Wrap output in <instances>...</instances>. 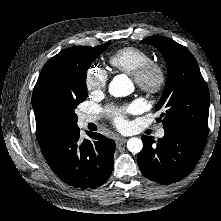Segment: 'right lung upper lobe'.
<instances>
[{
	"label": "right lung upper lobe",
	"mask_w": 221,
	"mask_h": 221,
	"mask_svg": "<svg viewBox=\"0 0 221 221\" xmlns=\"http://www.w3.org/2000/svg\"><path fill=\"white\" fill-rule=\"evenodd\" d=\"M85 47H70L52 57L43 66L33 90L32 106L36 119L39 145L68 128L69 116L64 107L50 94V85L62 79L65 66L79 56Z\"/></svg>",
	"instance_id": "obj_1"
}]
</instances>
